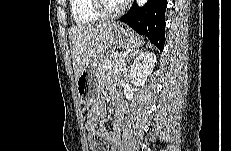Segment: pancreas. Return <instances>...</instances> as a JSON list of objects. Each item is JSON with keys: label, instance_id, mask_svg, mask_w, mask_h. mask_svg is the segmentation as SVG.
Returning <instances> with one entry per match:
<instances>
[{"label": "pancreas", "instance_id": "cf45deb5", "mask_svg": "<svg viewBox=\"0 0 231 151\" xmlns=\"http://www.w3.org/2000/svg\"><path fill=\"white\" fill-rule=\"evenodd\" d=\"M116 54H111L105 59L103 66L100 68L99 74L100 78L109 76L112 74H118L124 71L126 64L125 58L115 57Z\"/></svg>", "mask_w": 231, "mask_h": 151}]
</instances>
